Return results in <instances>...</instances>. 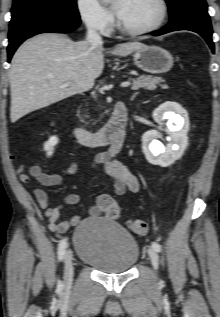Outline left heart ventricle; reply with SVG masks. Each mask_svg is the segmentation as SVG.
<instances>
[{"label": "left heart ventricle", "instance_id": "b2bd125f", "mask_svg": "<svg viewBox=\"0 0 220 317\" xmlns=\"http://www.w3.org/2000/svg\"><path fill=\"white\" fill-rule=\"evenodd\" d=\"M160 14L156 0H125L120 23L131 29L146 28L154 24Z\"/></svg>", "mask_w": 220, "mask_h": 317}]
</instances>
